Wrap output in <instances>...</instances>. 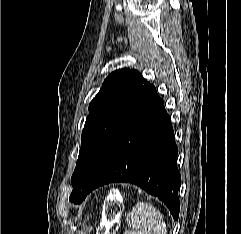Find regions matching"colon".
<instances>
[{
	"mask_svg": "<svg viewBox=\"0 0 241 234\" xmlns=\"http://www.w3.org/2000/svg\"><path fill=\"white\" fill-rule=\"evenodd\" d=\"M122 203L117 191H111L104 204V214L106 222L102 223L99 234H110V226L115 223V219L121 212Z\"/></svg>",
	"mask_w": 241,
	"mask_h": 234,
	"instance_id": "1",
	"label": "colon"
}]
</instances>
